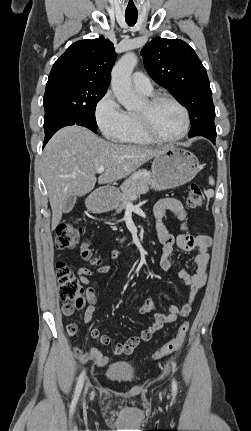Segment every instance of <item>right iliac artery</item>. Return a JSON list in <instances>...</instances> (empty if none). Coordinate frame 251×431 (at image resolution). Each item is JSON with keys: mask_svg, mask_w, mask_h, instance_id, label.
I'll use <instances>...</instances> for the list:
<instances>
[{"mask_svg": "<svg viewBox=\"0 0 251 431\" xmlns=\"http://www.w3.org/2000/svg\"><path fill=\"white\" fill-rule=\"evenodd\" d=\"M84 377H85V370L81 373V375L79 376L77 385H76V389H75V395H74V399H77L81 393L82 387H83V383H84Z\"/></svg>", "mask_w": 251, "mask_h": 431, "instance_id": "right-iliac-artery-1", "label": "right iliac artery"}]
</instances>
